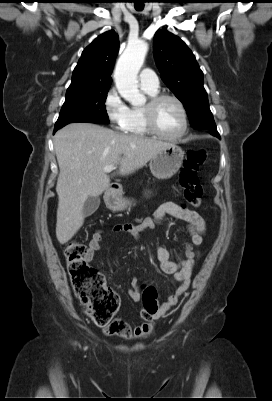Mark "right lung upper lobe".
Segmentation results:
<instances>
[{
  "label": "right lung upper lobe",
  "mask_w": 272,
  "mask_h": 401,
  "mask_svg": "<svg viewBox=\"0 0 272 401\" xmlns=\"http://www.w3.org/2000/svg\"><path fill=\"white\" fill-rule=\"evenodd\" d=\"M118 49V35L113 30L98 36L82 52L66 93L111 86Z\"/></svg>",
  "instance_id": "obj_1"
}]
</instances>
